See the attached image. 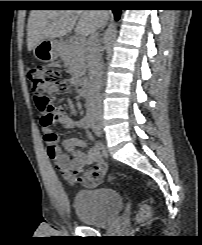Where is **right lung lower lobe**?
Returning <instances> with one entry per match:
<instances>
[{
	"instance_id": "obj_1",
	"label": "right lung lower lobe",
	"mask_w": 202,
	"mask_h": 245,
	"mask_svg": "<svg viewBox=\"0 0 202 245\" xmlns=\"http://www.w3.org/2000/svg\"><path fill=\"white\" fill-rule=\"evenodd\" d=\"M102 4L103 6L112 8L111 10L114 13L115 20H118L120 18L121 10L118 8L119 6L118 1H105Z\"/></svg>"
}]
</instances>
